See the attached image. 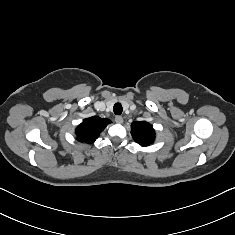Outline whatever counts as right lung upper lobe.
Masks as SVG:
<instances>
[{"label":"right lung upper lobe","mask_w":235,"mask_h":235,"mask_svg":"<svg viewBox=\"0 0 235 235\" xmlns=\"http://www.w3.org/2000/svg\"><path fill=\"white\" fill-rule=\"evenodd\" d=\"M110 122L111 121L108 119L97 116L83 120L76 129L77 139L80 142L91 144L99 137L101 131H103Z\"/></svg>","instance_id":"cb5924a9"}]
</instances>
